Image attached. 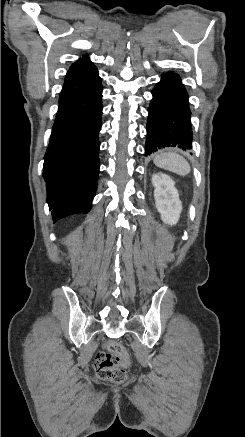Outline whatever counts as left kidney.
Returning <instances> with one entry per match:
<instances>
[{"instance_id":"1","label":"left kidney","mask_w":245,"mask_h":437,"mask_svg":"<svg viewBox=\"0 0 245 437\" xmlns=\"http://www.w3.org/2000/svg\"><path fill=\"white\" fill-rule=\"evenodd\" d=\"M152 184L155 187L154 198L158 212L164 223L175 225L182 211V203L170 176L162 173L153 174Z\"/></svg>"}]
</instances>
